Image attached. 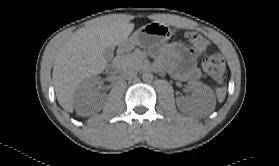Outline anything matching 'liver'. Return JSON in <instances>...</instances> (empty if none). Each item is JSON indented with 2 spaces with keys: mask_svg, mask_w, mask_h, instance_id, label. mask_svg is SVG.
I'll use <instances>...</instances> for the list:
<instances>
[{
  "mask_svg": "<svg viewBox=\"0 0 279 166\" xmlns=\"http://www.w3.org/2000/svg\"><path fill=\"white\" fill-rule=\"evenodd\" d=\"M134 24L124 15H108L78 29L58 50L53 67V84L57 100L67 112H73V96L77 86L86 78L102 73L107 60L106 47L125 41Z\"/></svg>",
  "mask_w": 279,
  "mask_h": 166,
  "instance_id": "liver-1",
  "label": "liver"
}]
</instances>
